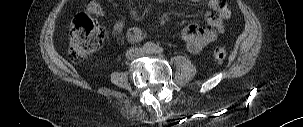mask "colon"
Returning a JSON list of instances; mask_svg holds the SVG:
<instances>
[{
    "label": "colon",
    "mask_w": 303,
    "mask_h": 127,
    "mask_svg": "<svg viewBox=\"0 0 303 127\" xmlns=\"http://www.w3.org/2000/svg\"><path fill=\"white\" fill-rule=\"evenodd\" d=\"M104 35L97 22L86 13H78L72 21L70 31L71 58L79 61L99 49ZM213 58L223 61L226 58L224 48L217 47L213 50Z\"/></svg>",
    "instance_id": "colon-1"
}]
</instances>
